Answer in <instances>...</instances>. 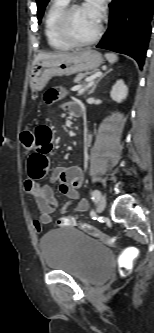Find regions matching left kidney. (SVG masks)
Instances as JSON below:
<instances>
[{"label": "left kidney", "mask_w": 154, "mask_h": 333, "mask_svg": "<svg viewBox=\"0 0 154 333\" xmlns=\"http://www.w3.org/2000/svg\"><path fill=\"white\" fill-rule=\"evenodd\" d=\"M128 95V88L124 84L123 80H118L112 87L110 92V96L112 100L121 103L123 100L126 99Z\"/></svg>", "instance_id": "5707ae66"}]
</instances>
